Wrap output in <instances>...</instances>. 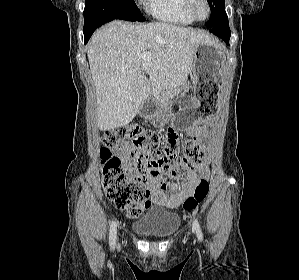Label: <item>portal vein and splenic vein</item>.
Here are the masks:
<instances>
[{
	"mask_svg": "<svg viewBox=\"0 0 299 280\" xmlns=\"http://www.w3.org/2000/svg\"><path fill=\"white\" fill-rule=\"evenodd\" d=\"M152 54L151 52H145L141 55V58L143 59V61L148 62L151 60Z\"/></svg>",
	"mask_w": 299,
	"mask_h": 280,
	"instance_id": "portal-vein-and-splenic-vein-1",
	"label": "portal vein and splenic vein"
}]
</instances>
